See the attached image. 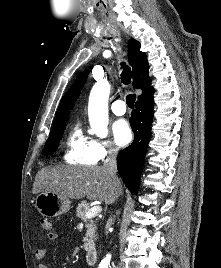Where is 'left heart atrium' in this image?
<instances>
[{
  "mask_svg": "<svg viewBox=\"0 0 221 268\" xmlns=\"http://www.w3.org/2000/svg\"><path fill=\"white\" fill-rule=\"evenodd\" d=\"M112 134L114 141L118 146L127 145L132 138L130 126L124 119H119L113 123Z\"/></svg>",
  "mask_w": 221,
  "mask_h": 268,
  "instance_id": "1",
  "label": "left heart atrium"
}]
</instances>
